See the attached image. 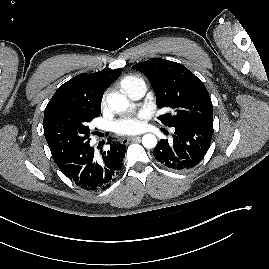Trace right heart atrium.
Segmentation results:
<instances>
[{
	"instance_id": "d8ad5b80",
	"label": "right heart atrium",
	"mask_w": 269,
	"mask_h": 269,
	"mask_svg": "<svg viewBox=\"0 0 269 269\" xmlns=\"http://www.w3.org/2000/svg\"><path fill=\"white\" fill-rule=\"evenodd\" d=\"M105 103V100L103 99V102H102V104H104Z\"/></svg>"
}]
</instances>
